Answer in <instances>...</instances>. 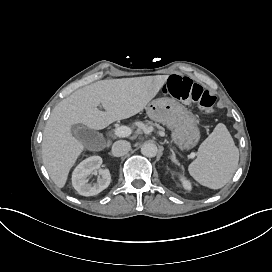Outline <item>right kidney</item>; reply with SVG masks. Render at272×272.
<instances>
[{
  "label": "right kidney",
  "mask_w": 272,
  "mask_h": 272,
  "mask_svg": "<svg viewBox=\"0 0 272 272\" xmlns=\"http://www.w3.org/2000/svg\"><path fill=\"white\" fill-rule=\"evenodd\" d=\"M98 176L97 184L87 182L89 175ZM111 182L109 168L103 167L102 158L99 156L90 157L80 163L74 170L72 185L80 195L95 196L106 189Z\"/></svg>",
  "instance_id": "ca27d5eb"
}]
</instances>
